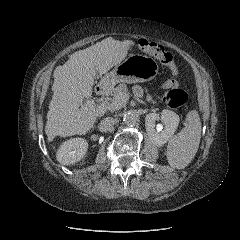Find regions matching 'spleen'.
<instances>
[{
	"label": "spleen",
	"mask_w": 240,
	"mask_h": 240,
	"mask_svg": "<svg viewBox=\"0 0 240 240\" xmlns=\"http://www.w3.org/2000/svg\"><path fill=\"white\" fill-rule=\"evenodd\" d=\"M201 138V121L196 110L189 111L182 131L171 137L167 146V160L171 167L183 169L195 157Z\"/></svg>",
	"instance_id": "1"
}]
</instances>
